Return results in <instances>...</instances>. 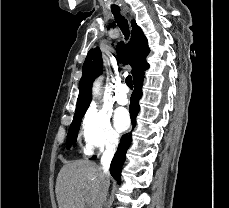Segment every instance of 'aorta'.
I'll return each mask as SVG.
<instances>
[{
  "label": "aorta",
  "instance_id": "1",
  "mask_svg": "<svg viewBox=\"0 0 229 208\" xmlns=\"http://www.w3.org/2000/svg\"><path fill=\"white\" fill-rule=\"evenodd\" d=\"M101 84H102V79H98L95 81L93 85V96L94 97H98L100 95Z\"/></svg>",
  "mask_w": 229,
  "mask_h": 208
}]
</instances>
